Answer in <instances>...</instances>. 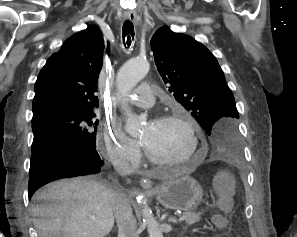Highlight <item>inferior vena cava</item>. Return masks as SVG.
<instances>
[{"mask_svg":"<svg viewBox=\"0 0 297 237\" xmlns=\"http://www.w3.org/2000/svg\"><path fill=\"white\" fill-rule=\"evenodd\" d=\"M117 171L122 176L131 173V171L124 166L118 167ZM113 211L118 226L119 237H139L131 205L121 194L116 193L113 197Z\"/></svg>","mask_w":297,"mask_h":237,"instance_id":"1","label":"inferior vena cava"}]
</instances>
